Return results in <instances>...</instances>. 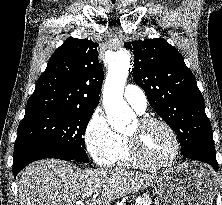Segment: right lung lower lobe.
<instances>
[{
    "instance_id": "obj_1",
    "label": "right lung lower lobe",
    "mask_w": 222,
    "mask_h": 205,
    "mask_svg": "<svg viewBox=\"0 0 222 205\" xmlns=\"http://www.w3.org/2000/svg\"><path fill=\"white\" fill-rule=\"evenodd\" d=\"M44 158H56L69 161H75L69 158L66 153L58 149L52 148L47 145L41 144H26L15 147L14 160H13V174L14 177L22 170L26 165L33 161Z\"/></svg>"
}]
</instances>
